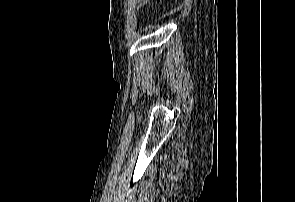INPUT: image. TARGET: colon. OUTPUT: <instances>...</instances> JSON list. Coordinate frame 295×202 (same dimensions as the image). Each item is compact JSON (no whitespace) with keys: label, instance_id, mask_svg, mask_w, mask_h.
<instances>
[{"label":"colon","instance_id":"colon-1","mask_svg":"<svg viewBox=\"0 0 295 202\" xmlns=\"http://www.w3.org/2000/svg\"><path fill=\"white\" fill-rule=\"evenodd\" d=\"M158 3H161L163 0H156Z\"/></svg>","mask_w":295,"mask_h":202}]
</instances>
